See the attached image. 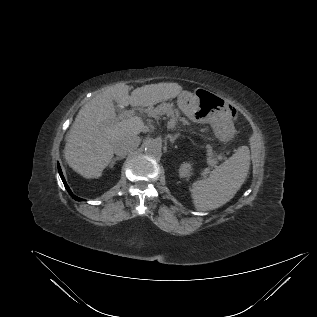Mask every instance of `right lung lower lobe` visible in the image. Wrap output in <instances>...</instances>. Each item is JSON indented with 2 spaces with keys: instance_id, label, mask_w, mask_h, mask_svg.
<instances>
[{
  "instance_id": "right-lung-lower-lobe-1",
  "label": "right lung lower lobe",
  "mask_w": 317,
  "mask_h": 317,
  "mask_svg": "<svg viewBox=\"0 0 317 317\" xmlns=\"http://www.w3.org/2000/svg\"><path fill=\"white\" fill-rule=\"evenodd\" d=\"M58 171H59L60 177H61V179H62V181H63V183H64V185H65V188H66L67 191H68V193H69L75 200H77V201L83 200V199H81V198H79V197L73 195V193L71 192L69 186L67 185V183H66V181H65V179H64V176H63V174H62V171H61V168H60V165H59V164H58Z\"/></svg>"
}]
</instances>
